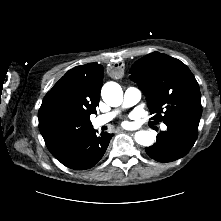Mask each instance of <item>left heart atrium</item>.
Instances as JSON below:
<instances>
[{
    "label": "left heart atrium",
    "mask_w": 221,
    "mask_h": 221,
    "mask_svg": "<svg viewBox=\"0 0 221 221\" xmlns=\"http://www.w3.org/2000/svg\"><path fill=\"white\" fill-rule=\"evenodd\" d=\"M131 118H133V117H131ZM131 125H132V122H130L128 120H124L122 122V126H124V127H130Z\"/></svg>",
    "instance_id": "left-heart-atrium-1"
}]
</instances>
